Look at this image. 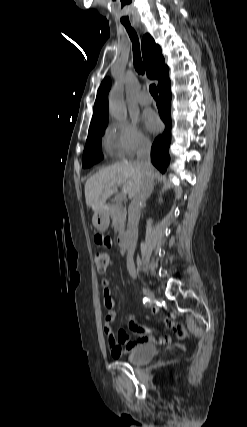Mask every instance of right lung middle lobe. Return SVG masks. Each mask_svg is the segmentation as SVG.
I'll return each mask as SVG.
<instances>
[{
	"instance_id": "right-lung-middle-lobe-1",
	"label": "right lung middle lobe",
	"mask_w": 247,
	"mask_h": 427,
	"mask_svg": "<svg viewBox=\"0 0 247 427\" xmlns=\"http://www.w3.org/2000/svg\"><path fill=\"white\" fill-rule=\"evenodd\" d=\"M107 126V122L101 124L95 128L89 129L88 137L83 153V167L87 168L93 164L99 162L103 155L101 151V137L104 134V129Z\"/></svg>"
}]
</instances>
